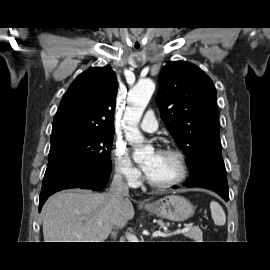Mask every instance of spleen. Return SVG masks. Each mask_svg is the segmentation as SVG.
Returning a JSON list of instances; mask_svg holds the SVG:
<instances>
[{
  "label": "spleen",
  "instance_id": "3e777b00",
  "mask_svg": "<svg viewBox=\"0 0 270 270\" xmlns=\"http://www.w3.org/2000/svg\"><path fill=\"white\" fill-rule=\"evenodd\" d=\"M210 210L214 223L218 226H223L226 223V216L219 203L212 201L210 203Z\"/></svg>",
  "mask_w": 270,
  "mask_h": 270
}]
</instances>
